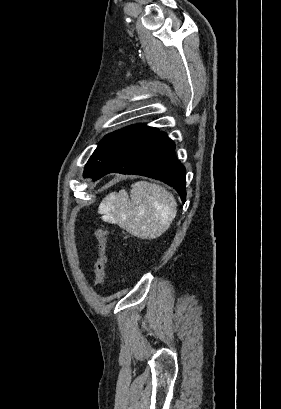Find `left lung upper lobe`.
Masks as SVG:
<instances>
[{"label":"left lung upper lobe","mask_w":281,"mask_h":409,"mask_svg":"<svg viewBox=\"0 0 281 409\" xmlns=\"http://www.w3.org/2000/svg\"><path fill=\"white\" fill-rule=\"evenodd\" d=\"M157 131L156 128L138 124L106 135L85 165L83 176L91 177L113 157Z\"/></svg>","instance_id":"obj_1"}]
</instances>
